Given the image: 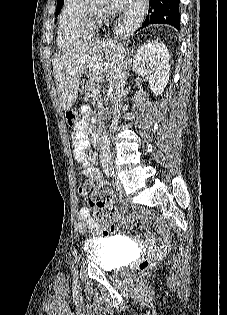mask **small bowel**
<instances>
[{
  "label": "small bowel",
  "mask_w": 227,
  "mask_h": 315,
  "mask_svg": "<svg viewBox=\"0 0 227 315\" xmlns=\"http://www.w3.org/2000/svg\"><path fill=\"white\" fill-rule=\"evenodd\" d=\"M84 113L87 114V111H85ZM85 127L86 122L82 121L76 126L72 134L74 159L77 166L81 169L83 176L89 178L93 186L105 187L106 184L102 182L100 172L90 165L89 158L85 152L88 147V141L85 136ZM111 205L113 207L111 222L123 220L128 210L126 203L124 201H120L118 206H114L113 203H111ZM101 227L107 226H100L99 222L92 217L91 211L88 207H81L78 210L77 229L79 232L84 234L95 233L98 232ZM143 230L147 234V236H151V231L147 227L143 226ZM157 232L162 235H167L166 226H159L157 228ZM169 243V239L165 238L159 243H154V247L157 250H163L168 247Z\"/></svg>",
  "instance_id": "small-bowel-1"
}]
</instances>
